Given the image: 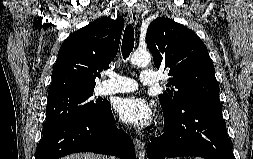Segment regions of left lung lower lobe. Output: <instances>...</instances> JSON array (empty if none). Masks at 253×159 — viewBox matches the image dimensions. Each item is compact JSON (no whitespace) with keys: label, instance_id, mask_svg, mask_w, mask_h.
Segmentation results:
<instances>
[{"label":"left lung lower lobe","instance_id":"obj_1","mask_svg":"<svg viewBox=\"0 0 253 159\" xmlns=\"http://www.w3.org/2000/svg\"><path fill=\"white\" fill-rule=\"evenodd\" d=\"M163 115L165 133L147 145L149 159L181 156L235 159L221 104L192 102L173 115Z\"/></svg>","mask_w":253,"mask_h":159}]
</instances>
